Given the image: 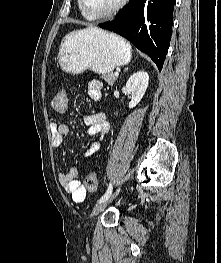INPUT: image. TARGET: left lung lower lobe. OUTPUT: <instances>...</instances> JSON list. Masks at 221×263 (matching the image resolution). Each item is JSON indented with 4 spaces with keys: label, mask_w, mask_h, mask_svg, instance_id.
Here are the masks:
<instances>
[{
    "label": "left lung lower lobe",
    "mask_w": 221,
    "mask_h": 263,
    "mask_svg": "<svg viewBox=\"0 0 221 263\" xmlns=\"http://www.w3.org/2000/svg\"><path fill=\"white\" fill-rule=\"evenodd\" d=\"M176 0H130L117 17L99 27L128 39L161 71L168 52Z\"/></svg>",
    "instance_id": "0a47b994"
}]
</instances>
